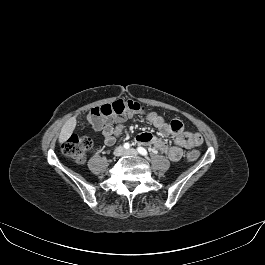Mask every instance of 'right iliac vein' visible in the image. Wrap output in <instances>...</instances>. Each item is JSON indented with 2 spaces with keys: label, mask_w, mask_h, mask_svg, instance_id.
Here are the masks:
<instances>
[{
  "label": "right iliac vein",
  "mask_w": 265,
  "mask_h": 265,
  "mask_svg": "<svg viewBox=\"0 0 265 265\" xmlns=\"http://www.w3.org/2000/svg\"><path fill=\"white\" fill-rule=\"evenodd\" d=\"M124 154H125V150H124V148L121 147V146L117 147V148L115 149V151H114V155L117 156V157L122 156V155H124Z\"/></svg>",
  "instance_id": "right-iliac-vein-1"
}]
</instances>
